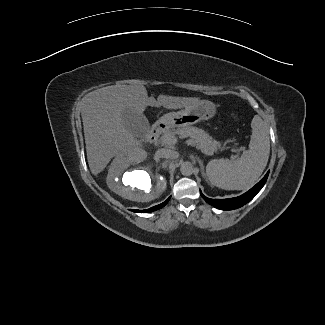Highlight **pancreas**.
<instances>
[{"label": "pancreas", "mask_w": 325, "mask_h": 325, "mask_svg": "<svg viewBox=\"0 0 325 325\" xmlns=\"http://www.w3.org/2000/svg\"><path fill=\"white\" fill-rule=\"evenodd\" d=\"M176 134H178L180 138H186V137L192 138L197 144V147L199 149H206L210 153L216 152L221 146L220 142L214 140L204 130L199 129L197 127L188 126V125H184L178 129L172 128L166 131L161 139L164 142L165 138L172 137V136L175 137Z\"/></svg>", "instance_id": "pancreas-1"}]
</instances>
